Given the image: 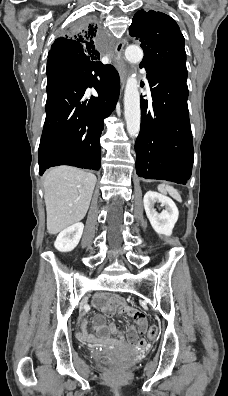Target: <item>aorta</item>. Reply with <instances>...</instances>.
<instances>
[{"mask_svg":"<svg viewBox=\"0 0 228 396\" xmlns=\"http://www.w3.org/2000/svg\"><path fill=\"white\" fill-rule=\"evenodd\" d=\"M125 58L130 63H140L143 59V51L138 46H128L125 50ZM124 115L129 136L136 137L140 131V93L136 74L128 77L124 93Z\"/></svg>","mask_w":228,"mask_h":396,"instance_id":"obj_1","label":"aorta"}]
</instances>
